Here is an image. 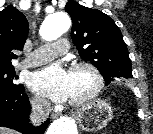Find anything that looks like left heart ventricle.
Here are the masks:
<instances>
[{
	"instance_id": "obj_1",
	"label": "left heart ventricle",
	"mask_w": 153,
	"mask_h": 134,
	"mask_svg": "<svg viewBox=\"0 0 153 134\" xmlns=\"http://www.w3.org/2000/svg\"><path fill=\"white\" fill-rule=\"evenodd\" d=\"M94 85L91 73L86 69L70 72V93L68 100H75L86 95Z\"/></svg>"
}]
</instances>
